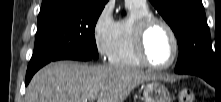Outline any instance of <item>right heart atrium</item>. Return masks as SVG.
I'll return each mask as SVG.
<instances>
[{
    "mask_svg": "<svg viewBox=\"0 0 221 102\" xmlns=\"http://www.w3.org/2000/svg\"><path fill=\"white\" fill-rule=\"evenodd\" d=\"M117 21L114 19L112 7L107 4L97 15L93 27L92 38L97 53L102 58H109L115 43Z\"/></svg>",
    "mask_w": 221,
    "mask_h": 102,
    "instance_id": "obj_1",
    "label": "right heart atrium"
}]
</instances>
